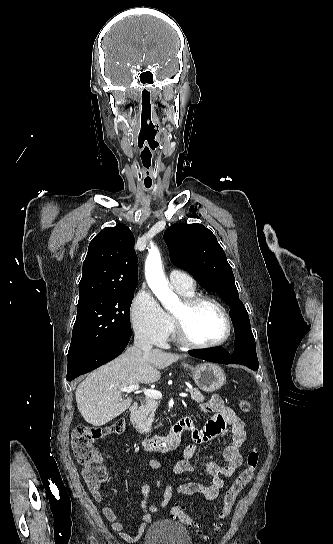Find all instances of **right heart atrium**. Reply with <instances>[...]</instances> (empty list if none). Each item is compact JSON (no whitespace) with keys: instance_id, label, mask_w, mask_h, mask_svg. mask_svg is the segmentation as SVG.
Masks as SVG:
<instances>
[{"instance_id":"1","label":"right heart atrium","mask_w":333,"mask_h":544,"mask_svg":"<svg viewBox=\"0 0 333 544\" xmlns=\"http://www.w3.org/2000/svg\"><path fill=\"white\" fill-rule=\"evenodd\" d=\"M131 325L141 339L162 346L172 332V319L147 289H141L130 307Z\"/></svg>"}]
</instances>
